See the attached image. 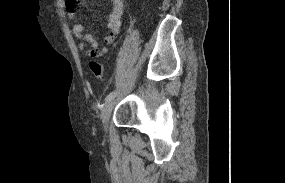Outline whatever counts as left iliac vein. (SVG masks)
Masks as SVG:
<instances>
[{
    "label": "left iliac vein",
    "instance_id": "1",
    "mask_svg": "<svg viewBox=\"0 0 285 183\" xmlns=\"http://www.w3.org/2000/svg\"><path fill=\"white\" fill-rule=\"evenodd\" d=\"M115 104V97L109 100L102 109L101 120L105 130H107L109 118Z\"/></svg>",
    "mask_w": 285,
    "mask_h": 183
}]
</instances>
